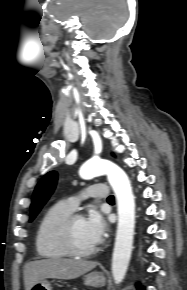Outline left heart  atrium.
Listing matches in <instances>:
<instances>
[{"label": "left heart atrium", "instance_id": "left-heart-atrium-1", "mask_svg": "<svg viewBox=\"0 0 187 290\" xmlns=\"http://www.w3.org/2000/svg\"><path fill=\"white\" fill-rule=\"evenodd\" d=\"M85 222L93 241L96 244L100 243L104 239L108 229L104 218L100 213L92 210L85 219Z\"/></svg>", "mask_w": 187, "mask_h": 290}]
</instances>
